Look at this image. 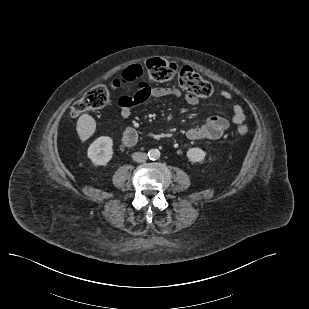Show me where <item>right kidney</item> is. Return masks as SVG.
<instances>
[{
    "instance_id": "1",
    "label": "right kidney",
    "mask_w": 309,
    "mask_h": 309,
    "mask_svg": "<svg viewBox=\"0 0 309 309\" xmlns=\"http://www.w3.org/2000/svg\"><path fill=\"white\" fill-rule=\"evenodd\" d=\"M112 147V138L101 136L89 146L87 156L95 166H105L112 159Z\"/></svg>"
}]
</instances>
